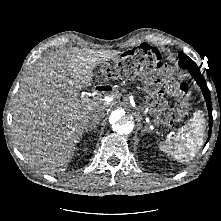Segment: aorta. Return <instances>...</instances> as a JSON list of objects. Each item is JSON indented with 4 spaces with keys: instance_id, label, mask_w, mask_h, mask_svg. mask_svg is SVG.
I'll list each match as a JSON object with an SVG mask.
<instances>
[{
    "instance_id": "1",
    "label": "aorta",
    "mask_w": 221,
    "mask_h": 221,
    "mask_svg": "<svg viewBox=\"0 0 221 221\" xmlns=\"http://www.w3.org/2000/svg\"><path fill=\"white\" fill-rule=\"evenodd\" d=\"M109 122L112 130L118 135H128L136 126L134 117L123 109L113 111Z\"/></svg>"
}]
</instances>
